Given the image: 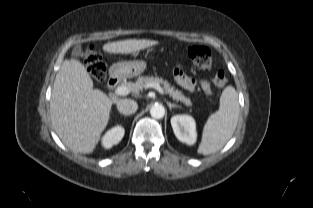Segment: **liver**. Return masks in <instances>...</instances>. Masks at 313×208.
Here are the masks:
<instances>
[{"label":"liver","mask_w":313,"mask_h":208,"mask_svg":"<svg viewBox=\"0 0 313 208\" xmlns=\"http://www.w3.org/2000/svg\"><path fill=\"white\" fill-rule=\"evenodd\" d=\"M158 43L155 40L127 39L106 43L103 50L111 54H130ZM113 102L101 90L93 89V81L81 62L66 59L52 88V126L72 151L90 154L108 124Z\"/></svg>","instance_id":"obj_1"}]
</instances>
